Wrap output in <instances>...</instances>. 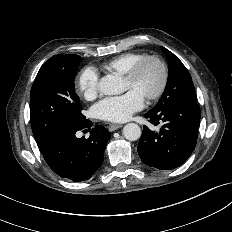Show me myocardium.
I'll return each instance as SVG.
<instances>
[{"instance_id": "f54148a6", "label": "myocardium", "mask_w": 232, "mask_h": 232, "mask_svg": "<svg viewBox=\"0 0 232 232\" xmlns=\"http://www.w3.org/2000/svg\"><path fill=\"white\" fill-rule=\"evenodd\" d=\"M149 63L157 65L160 71V81L158 87L153 93L145 97V99L148 101H154L159 99L163 95V93L166 90L169 79L167 65L161 57L156 55L144 56L143 58L138 60L134 65H132V67L125 74V78L131 82L135 81L143 67Z\"/></svg>"}]
</instances>
